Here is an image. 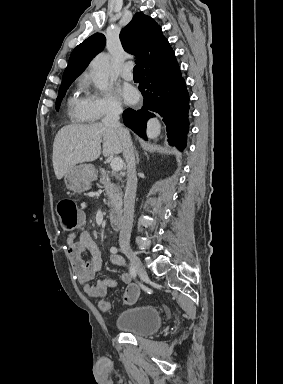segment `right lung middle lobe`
I'll return each instance as SVG.
<instances>
[{
	"label": "right lung middle lobe",
	"instance_id": "right-lung-middle-lobe-1",
	"mask_svg": "<svg viewBox=\"0 0 283 384\" xmlns=\"http://www.w3.org/2000/svg\"><path fill=\"white\" fill-rule=\"evenodd\" d=\"M71 83H72V82H68V83H63V84H61V86H60V88H59L58 97H57V100H56V110H57V111L59 110L60 103H61L63 97L65 96L66 90L69 88V86L71 85Z\"/></svg>",
	"mask_w": 283,
	"mask_h": 384
}]
</instances>
